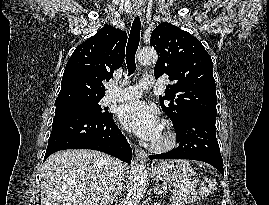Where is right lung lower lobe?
I'll use <instances>...</instances> for the list:
<instances>
[{"label":"right lung lower lobe","mask_w":269,"mask_h":205,"mask_svg":"<svg viewBox=\"0 0 269 205\" xmlns=\"http://www.w3.org/2000/svg\"><path fill=\"white\" fill-rule=\"evenodd\" d=\"M65 149L98 150L128 164L132 159V149L112 114L105 118L83 113L55 115L44 160Z\"/></svg>","instance_id":"1"}]
</instances>
